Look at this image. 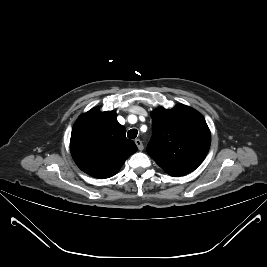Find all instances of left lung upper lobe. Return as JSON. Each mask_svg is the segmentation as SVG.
<instances>
[{
    "label": "left lung upper lobe",
    "instance_id": "left-lung-upper-lobe-1",
    "mask_svg": "<svg viewBox=\"0 0 267 267\" xmlns=\"http://www.w3.org/2000/svg\"><path fill=\"white\" fill-rule=\"evenodd\" d=\"M152 138L147 152L171 176L195 170L206 157L211 134L204 117L195 109L178 104L151 113Z\"/></svg>",
    "mask_w": 267,
    "mask_h": 267
}]
</instances>
